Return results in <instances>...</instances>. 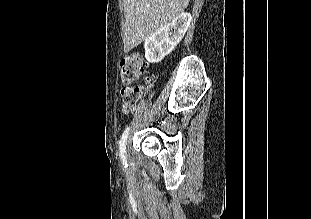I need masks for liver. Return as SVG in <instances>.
I'll return each mask as SVG.
<instances>
[{"label":"liver","mask_w":311,"mask_h":219,"mask_svg":"<svg viewBox=\"0 0 311 219\" xmlns=\"http://www.w3.org/2000/svg\"><path fill=\"white\" fill-rule=\"evenodd\" d=\"M124 52L142 43L184 12L189 0H123Z\"/></svg>","instance_id":"obj_1"}]
</instances>
